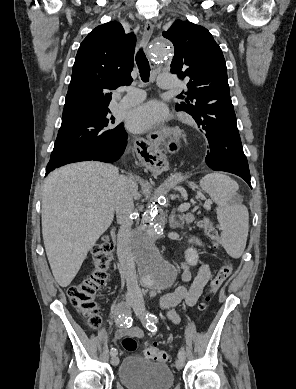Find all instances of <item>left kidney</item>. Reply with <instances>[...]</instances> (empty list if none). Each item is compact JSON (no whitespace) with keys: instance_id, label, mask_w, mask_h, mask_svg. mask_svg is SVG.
Wrapping results in <instances>:
<instances>
[{"instance_id":"left-kidney-1","label":"left kidney","mask_w":296,"mask_h":389,"mask_svg":"<svg viewBox=\"0 0 296 389\" xmlns=\"http://www.w3.org/2000/svg\"><path fill=\"white\" fill-rule=\"evenodd\" d=\"M185 259L191 266H195L198 261V254L196 249L188 248L185 252Z\"/></svg>"}]
</instances>
